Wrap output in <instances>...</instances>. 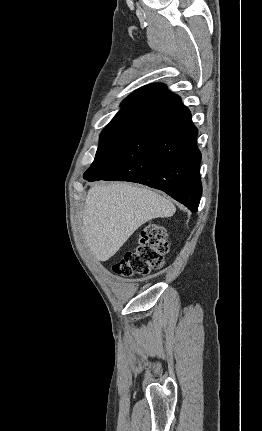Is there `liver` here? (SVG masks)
<instances>
[{
  "instance_id": "obj_1",
  "label": "liver",
  "mask_w": 262,
  "mask_h": 431,
  "mask_svg": "<svg viewBox=\"0 0 262 431\" xmlns=\"http://www.w3.org/2000/svg\"><path fill=\"white\" fill-rule=\"evenodd\" d=\"M175 211L170 200L147 188L122 182L94 186L82 216L85 243L97 260H109L142 224Z\"/></svg>"
}]
</instances>
